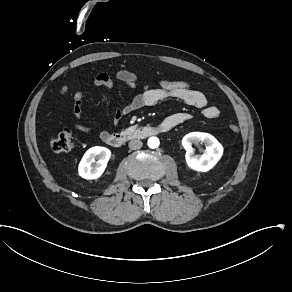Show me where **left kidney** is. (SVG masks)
<instances>
[{"instance_id":"left-kidney-1","label":"left kidney","mask_w":292,"mask_h":292,"mask_svg":"<svg viewBox=\"0 0 292 292\" xmlns=\"http://www.w3.org/2000/svg\"><path fill=\"white\" fill-rule=\"evenodd\" d=\"M203 143V154L195 155L192 144ZM182 146L186 150V162L196 171L206 172L212 169L223 154V147L217 139L209 133L191 132L182 139Z\"/></svg>"}]
</instances>
